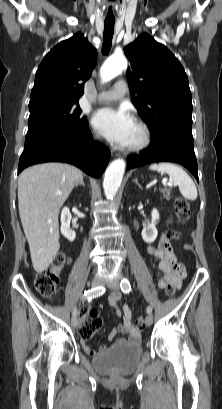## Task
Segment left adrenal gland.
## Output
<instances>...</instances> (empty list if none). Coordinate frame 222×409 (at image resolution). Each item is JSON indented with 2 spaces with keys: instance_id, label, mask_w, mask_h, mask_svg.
I'll list each match as a JSON object with an SVG mask.
<instances>
[{
  "instance_id": "a2214340",
  "label": "left adrenal gland",
  "mask_w": 222,
  "mask_h": 409,
  "mask_svg": "<svg viewBox=\"0 0 222 409\" xmlns=\"http://www.w3.org/2000/svg\"><path fill=\"white\" fill-rule=\"evenodd\" d=\"M134 182L141 188V186H140V184L138 183L137 179H135Z\"/></svg>"
}]
</instances>
